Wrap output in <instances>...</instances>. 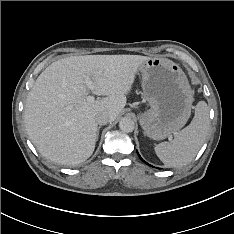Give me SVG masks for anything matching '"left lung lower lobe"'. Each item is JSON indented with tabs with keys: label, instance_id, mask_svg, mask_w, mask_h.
<instances>
[{
	"label": "left lung lower lobe",
	"instance_id": "obj_1",
	"mask_svg": "<svg viewBox=\"0 0 234 234\" xmlns=\"http://www.w3.org/2000/svg\"><path fill=\"white\" fill-rule=\"evenodd\" d=\"M137 154H138V156H139V158L144 162V160L141 158V156L139 155V153L137 152ZM146 163V162H145ZM146 164H148V163H146ZM149 165V164H148Z\"/></svg>",
	"mask_w": 234,
	"mask_h": 234
}]
</instances>
